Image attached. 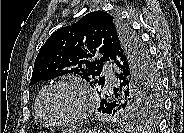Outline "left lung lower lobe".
<instances>
[{
  "label": "left lung lower lobe",
  "mask_w": 184,
  "mask_h": 133,
  "mask_svg": "<svg viewBox=\"0 0 184 133\" xmlns=\"http://www.w3.org/2000/svg\"><path fill=\"white\" fill-rule=\"evenodd\" d=\"M117 79H119V83L117 85V87H114L113 89H111L110 91H107L105 88V91H100L98 92V95L102 98L101 103H100V107L98 108L99 112H102L103 114H108V115H113L115 116L116 114V103L115 101L113 102H108V98L109 97H114L116 98L118 93L122 88L126 87V80H125V75L123 73V70L121 68H118V72L116 73ZM106 92V93H105ZM142 120L139 121H130V122H134V123H140Z\"/></svg>",
  "instance_id": "obj_1"
}]
</instances>
